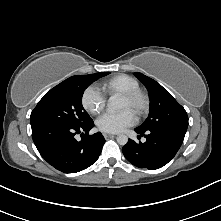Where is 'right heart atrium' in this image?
<instances>
[{
    "instance_id": "d8ad5b80",
    "label": "right heart atrium",
    "mask_w": 221,
    "mask_h": 221,
    "mask_svg": "<svg viewBox=\"0 0 221 221\" xmlns=\"http://www.w3.org/2000/svg\"><path fill=\"white\" fill-rule=\"evenodd\" d=\"M83 108L91 114H99L106 105L105 95L95 86L90 85L82 93Z\"/></svg>"
}]
</instances>
